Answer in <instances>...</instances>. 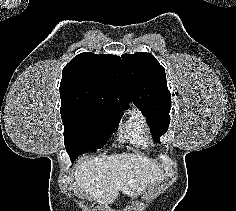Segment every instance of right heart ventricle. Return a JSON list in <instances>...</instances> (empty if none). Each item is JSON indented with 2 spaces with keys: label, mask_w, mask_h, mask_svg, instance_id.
Listing matches in <instances>:
<instances>
[{
  "label": "right heart ventricle",
  "mask_w": 236,
  "mask_h": 211,
  "mask_svg": "<svg viewBox=\"0 0 236 211\" xmlns=\"http://www.w3.org/2000/svg\"><path fill=\"white\" fill-rule=\"evenodd\" d=\"M119 139L136 148L147 150L150 143L147 137V124L140 112H133L122 124L119 131Z\"/></svg>",
  "instance_id": "e07e8e85"
}]
</instances>
